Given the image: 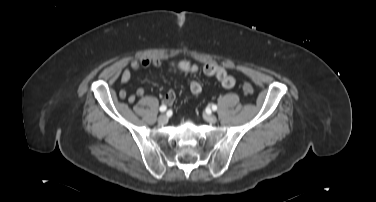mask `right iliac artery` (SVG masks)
Masks as SVG:
<instances>
[{
	"label": "right iliac artery",
	"instance_id": "right-iliac-artery-1",
	"mask_svg": "<svg viewBox=\"0 0 376 202\" xmlns=\"http://www.w3.org/2000/svg\"><path fill=\"white\" fill-rule=\"evenodd\" d=\"M166 109H167V107H166L165 105H161L160 108H159V110H160L161 112H165Z\"/></svg>",
	"mask_w": 376,
	"mask_h": 202
}]
</instances>
